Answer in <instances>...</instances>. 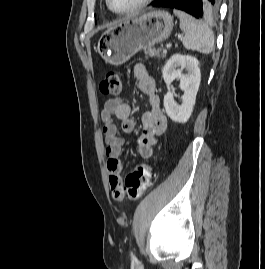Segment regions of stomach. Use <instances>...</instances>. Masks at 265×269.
<instances>
[{"mask_svg": "<svg viewBox=\"0 0 265 269\" xmlns=\"http://www.w3.org/2000/svg\"><path fill=\"white\" fill-rule=\"evenodd\" d=\"M172 28L171 14L154 10L107 29L98 41L97 50L107 63L122 65L137 52L166 40Z\"/></svg>", "mask_w": 265, "mask_h": 269, "instance_id": "obj_1", "label": "stomach"}]
</instances>
